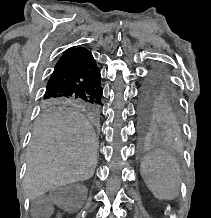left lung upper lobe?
<instances>
[{
    "label": "left lung upper lobe",
    "instance_id": "left-lung-upper-lobe-1",
    "mask_svg": "<svg viewBox=\"0 0 211 218\" xmlns=\"http://www.w3.org/2000/svg\"><path fill=\"white\" fill-rule=\"evenodd\" d=\"M140 116L142 129L147 131L168 123L176 124L180 120L177 92L158 67L153 68L145 81Z\"/></svg>",
    "mask_w": 211,
    "mask_h": 218
}]
</instances>
